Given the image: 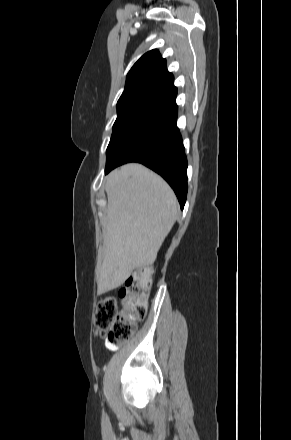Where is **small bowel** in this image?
<instances>
[{"instance_id":"obj_1","label":"small bowel","mask_w":291,"mask_h":440,"mask_svg":"<svg viewBox=\"0 0 291 440\" xmlns=\"http://www.w3.org/2000/svg\"><path fill=\"white\" fill-rule=\"evenodd\" d=\"M105 345H106L107 349H109L111 351H115L118 348L114 343L110 342L109 340H106Z\"/></svg>"}]
</instances>
